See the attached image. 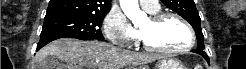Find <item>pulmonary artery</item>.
I'll list each match as a JSON object with an SVG mask.
<instances>
[{"instance_id":"pulmonary-artery-1","label":"pulmonary artery","mask_w":246,"mask_h":69,"mask_svg":"<svg viewBox=\"0 0 246 69\" xmlns=\"http://www.w3.org/2000/svg\"><path fill=\"white\" fill-rule=\"evenodd\" d=\"M140 4L149 13H155L159 10V3L156 0H143L140 1Z\"/></svg>"}]
</instances>
